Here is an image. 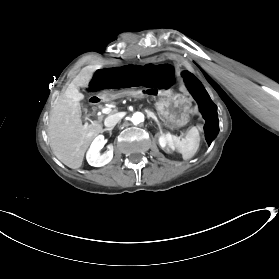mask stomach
Listing matches in <instances>:
<instances>
[{
    "instance_id": "obj_1",
    "label": "stomach",
    "mask_w": 279,
    "mask_h": 279,
    "mask_svg": "<svg viewBox=\"0 0 279 279\" xmlns=\"http://www.w3.org/2000/svg\"><path fill=\"white\" fill-rule=\"evenodd\" d=\"M159 100L156 101V103ZM155 103L157 115L172 126L184 125L190 117L192 103L189 98L181 95L167 96L158 104Z\"/></svg>"
}]
</instances>
